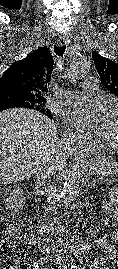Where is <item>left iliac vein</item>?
<instances>
[{
	"instance_id": "left-iliac-vein-1",
	"label": "left iliac vein",
	"mask_w": 118,
	"mask_h": 269,
	"mask_svg": "<svg viewBox=\"0 0 118 269\" xmlns=\"http://www.w3.org/2000/svg\"><path fill=\"white\" fill-rule=\"evenodd\" d=\"M61 269H68L67 266H64L63 264H60Z\"/></svg>"
}]
</instances>
